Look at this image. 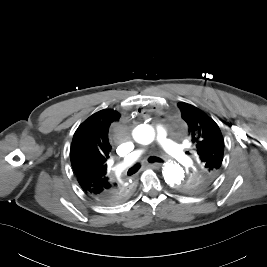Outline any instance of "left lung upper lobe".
I'll list each match as a JSON object with an SVG mask.
<instances>
[{"label": "left lung upper lobe", "instance_id": "1", "mask_svg": "<svg viewBox=\"0 0 267 267\" xmlns=\"http://www.w3.org/2000/svg\"><path fill=\"white\" fill-rule=\"evenodd\" d=\"M194 150L199 156L197 167L191 172L181 190L185 193L200 192L213 184L221 171L224 141L215 121L193 105L178 104Z\"/></svg>", "mask_w": 267, "mask_h": 267}]
</instances>
